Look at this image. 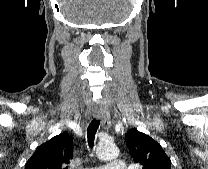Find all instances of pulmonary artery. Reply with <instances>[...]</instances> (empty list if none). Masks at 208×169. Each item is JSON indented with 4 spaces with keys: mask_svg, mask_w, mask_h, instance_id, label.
<instances>
[{
    "mask_svg": "<svg viewBox=\"0 0 208 169\" xmlns=\"http://www.w3.org/2000/svg\"><path fill=\"white\" fill-rule=\"evenodd\" d=\"M85 169H129V167H127L123 159L113 158L104 165H100L96 167H88Z\"/></svg>",
    "mask_w": 208,
    "mask_h": 169,
    "instance_id": "1",
    "label": "pulmonary artery"
}]
</instances>
